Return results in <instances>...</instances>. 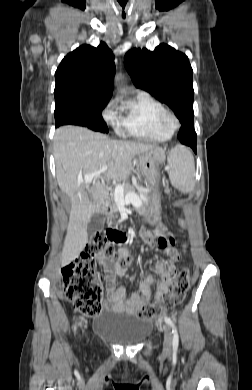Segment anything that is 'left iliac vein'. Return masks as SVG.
I'll return each instance as SVG.
<instances>
[{
    "label": "left iliac vein",
    "instance_id": "left-iliac-vein-1",
    "mask_svg": "<svg viewBox=\"0 0 252 390\" xmlns=\"http://www.w3.org/2000/svg\"><path fill=\"white\" fill-rule=\"evenodd\" d=\"M163 331H164L163 349L164 352L170 353L172 347V331L168 325L163 326Z\"/></svg>",
    "mask_w": 252,
    "mask_h": 390
}]
</instances>
